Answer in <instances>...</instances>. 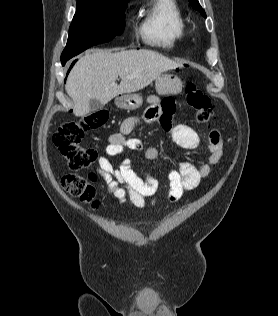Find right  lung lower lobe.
<instances>
[{
  "mask_svg": "<svg viewBox=\"0 0 278 316\" xmlns=\"http://www.w3.org/2000/svg\"><path fill=\"white\" fill-rule=\"evenodd\" d=\"M61 62H62V61H61ZM65 63H66V61H63V62H62V65H65Z\"/></svg>",
  "mask_w": 278,
  "mask_h": 316,
  "instance_id": "98d812e1",
  "label": "right lung lower lobe"
}]
</instances>
